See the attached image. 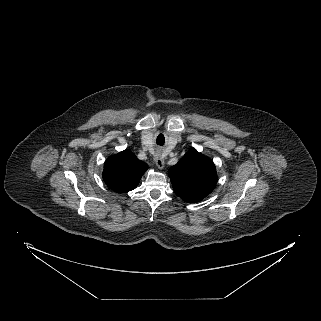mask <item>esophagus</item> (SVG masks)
<instances>
[{
    "label": "esophagus",
    "instance_id": "obj_1",
    "mask_svg": "<svg viewBox=\"0 0 321 321\" xmlns=\"http://www.w3.org/2000/svg\"><path fill=\"white\" fill-rule=\"evenodd\" d=\"M154 162L156 164V166L159 168V169H163L164 168V159L161 155V151L158 150L154 156Z\"/></svg>",
    "mask_w": 321,
    "mask_h": 321
}]
</instances>
